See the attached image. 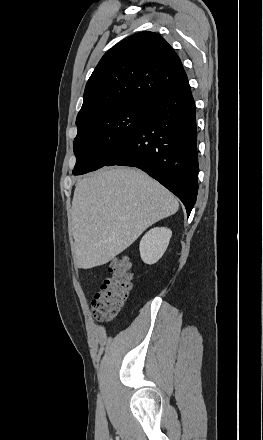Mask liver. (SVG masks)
<instances>
[{"label":"liver","mask_w":263,"mask_h":440,"mask_svg":"<svg viewBox=\"0 0 263 440\" xmlns=\"http://www.w3.org/2000/svg\"><path fill=\"white\" fill-rule=\"evenodd\" d=\"M178 208L172 193L135 168H105L83 178L70 217L75 265L90 269L108 263Z\"/></svg>","instance_id":"obj_1"}]
</instances>
